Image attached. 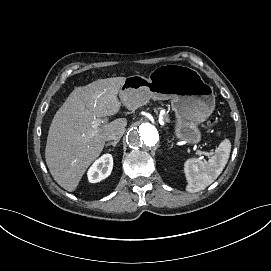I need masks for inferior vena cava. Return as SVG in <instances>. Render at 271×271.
<instances>
[{
	"instance_id": "1",
	"label": "inferior vena cava",
	"mask_w": 271,
	"mask_h": 271,
	"mask_svg": "<svg viewBox=\"0 0 271 271\" xmlns=\"http://www.w3.org/2000/svg\"><path fill=\"white\" fill-rule=\"evenodd\" d=\"M123 135V132H114L106 137V140H114V141H119L121 136Z\"/></svg>"
}]
</instances>
